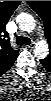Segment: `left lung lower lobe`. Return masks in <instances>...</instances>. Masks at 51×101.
<instances>
[{
  "instance_id": "0a47b994",
  "label": "left lung lower lobe",
  "mask_w": 51,
  "mask_h": 101,
  "mask_svg": "<svg viewBox=\"0 0 51 101\" xmlns=\"http://www.w3.org/2000/svg\"><path fill=\"white\" fill-rule=\"evenodd\" d=\"M40 62H41V64L43 65V67H44L45 69L50 70L51 64H50V60H49L48 57L45 58V59H43V60H40Z\"/></svg>"
}]
</instances>
